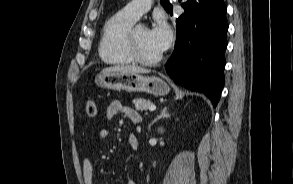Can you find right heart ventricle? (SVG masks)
Segmentation results:
<instances>
[{
  "mask_svg": "<svg viewBox=\"0 0 293 184\" xmlns=\"http://www.w3.org/2000/svg\"><path fill=\"white\" fill-rule=\"evenodd\" d=\"M136 19L120 11L110 17L99 42V56L107 64L124 65L133 62L127 50V36Z\"/></svg>",
  "mask_w": 293,
  "mask_h": 184,
  "instance_id": "obj_1",
  "label": "right heart ventricle"
}]
</instances>
